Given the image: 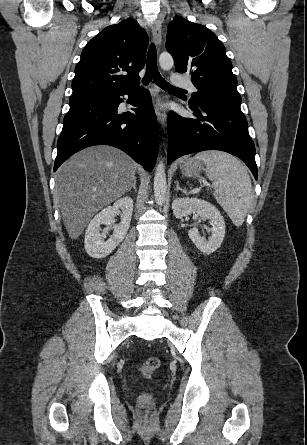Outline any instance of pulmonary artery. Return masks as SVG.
I'll return each mask as SVG.
<instances>
[{
  "label": "pulmonary artery",
  "mask_w": 307,
  "mask_h": 445,
  "mask_svg": "<svg viewBox=\"0 0 307 445\" xmlns=\"http://www.w3.org/2000/svg\"><path fill=\"white\" fill-rule=\"evenodd\" d=\"M170 83L177 84L178 89L180 90H191L193 84L191 81H187L185 75H172L169 78Z\"/></svg>",
  "instance_id": "obj_1"
}]
</instances>
